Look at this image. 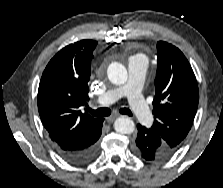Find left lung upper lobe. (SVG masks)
<instances>
[{
    "label": "left lung upper lobe",
    "instance_id": "obj_1",
    "mask_svg": "<svg viewBox=\"0 0 223 188\" xmlns=\"http://www.w3.org/2000/svg\"><path fill=\"white\" fill-rule=\"evenodd\" d=\"M158 66L151 127L174 154L191 129L199 101L194 72L175 46L157 43Z\"/></svg>",
    "mask_w": 223,
    "mask_h": 188
}]
</instances>
